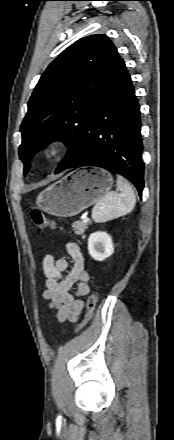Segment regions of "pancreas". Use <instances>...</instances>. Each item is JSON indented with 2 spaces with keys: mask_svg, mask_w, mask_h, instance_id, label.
I'll list each match as a JSON object with an SVG mask.
<instances>
[{
  "mask_svg": "<svg viewBox=\"0 0 174 440\" xmlns=\"http://www.w3.org/2000/svg\"><path fill=\"white\" fill-rule=\"evenodd\" d=\"M90 224H91L90 220L88 222L77 221L72 224V227L74 228L75 234L80 235L82 238H84L85 230L88 228Z\"/></svg>",
  "mask_w": 174,
  "mask_h": 440,
  "instance_id": "pancreas-1",
  "label": "pancreas"
}]
</instances>
